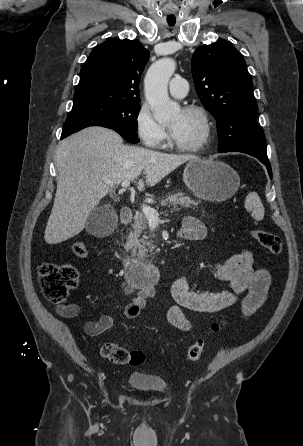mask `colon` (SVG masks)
I'll list each match as a JSON object with an SVG mask.
<instances>
[{
    "label": "colon",
    "instance_id": "obj_1",
    "mask_svg": "<svg viewBox=\"0 0 303 446\" xmlns=\"http://www.w3.org/2000/svg\"><path fill=\"white\" fill-rule=\"evenodd\" d=\"M251 236L255 241L273 255H279L282 251V243L278 236L261 229H253ZM72 252L79 258L88 256V248L83 242H75ZM38 278L43 295L54 304L64 303L70 292L78 284V273L70 265H59L43 262L38 266ZM224 322H214L210 326V332L216 333ZM205 350V339H197L186 351L187 361L198 360ZM101 355L115 364H130L138 366L146 361V354L139 350H128L115 343L106 342L100 347Z\"/></svg>",
    "mask_w": 303,
    "mask_h": 446
}]
</instances>
